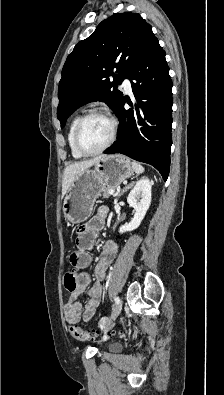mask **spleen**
I'll return each mask as SVG.
<instances>
[{"label":"spleen","instance_id":"1","mask_svg":"<svg viewBox=\"0 0 224 395\" xmlns=\"http://www.w3.org/2000/svg\"><path fill=\"white\" fill-rule=\"evenodd\" d=\"M132 167H133V170L135 171V173H137V174H141L144 172V167L136 161L132 162Z\"/></svg>","mask_w":224,"mask_h":395}]
</instances>
